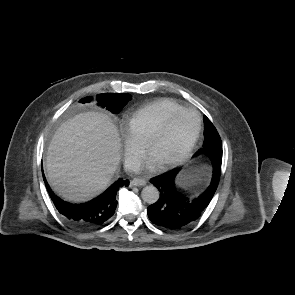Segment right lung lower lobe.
<instances>
[{"label":"right lung lower lobe","mask_w":295,"mask_h":295,"mask_svg":"<svg viewBox=\"0 0 295 295\" xmlns=\"http://www.w3.org/2000/svg\"><path fill=\"white\" fill-rule=\"evenodd\" d=\"M44 181L48 193L59 213L69 223L80 229L94 228L106 222L114 214L116 209L117 191L121 187H127L129 185L128 180L120 178L97 198L83 204H71L55 196L47 184L45 177Z\"/></svg>","instance_id":"98d812e1"}]
</instances>
